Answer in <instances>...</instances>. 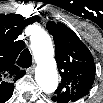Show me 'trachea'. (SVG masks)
I'll list each match as a JSON object with an SVG mask.
<instances>
[{
  "label": "trachea",
  "mask_w": 103,
  "mask_h": 103,
  "mask_svg": "<svg viewBox=\"0 0 103 103\" xmlns=\"http://www.w3.org/2000/svg\"><path fill=\"white\" fill-rule=\"evenodd\" d=\"M17 64L23 68H28L32 65V56H31L30 51L28 49H25L20 54L19 59L17 60Z\"/></svg>",
  "instance_id": "1"
}]
</instances>
